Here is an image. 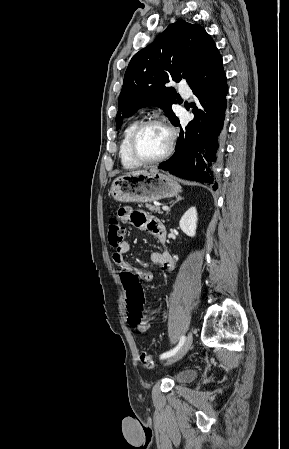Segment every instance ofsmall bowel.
Returning <instances> with one entry per match:
<instances>
[{
  "label": "small bowel",
  "mask_w": 289,
  "mask_h": 449,
  "mask_svg": "<svg viewBox=\"0 0 289 449\" xmlns=\"http://www.w3.org/2000/svg\"><path fill=\"white\" fill-rule=\"evenodd\" d=\"M120 218L129 222L137 228L143 229L152 234L160 243H164L166 239V230L164 225L155 217L147 214L141 210H134L129 207H124L119 210ZM131 246L128 242H123L119 247L115 248L112 259L114 263L121 269V271H134L138 279L145 281H152L154 275L151 271L134 267L130 265L125 255L130 251ZM151 262L165 271H172L174 269V261L171 255L163 251H154L150 255ZM153 315V310H148L142 324L138 328L141 332H147L150 328L149 320Z\"/></svg>",
  "instance_id": "obj_1"
}]
</instances>
